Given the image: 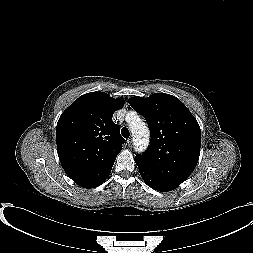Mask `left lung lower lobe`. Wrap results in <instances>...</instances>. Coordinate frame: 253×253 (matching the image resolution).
<instances>
[{"mask_svg": "<svg viewBox=\"0 0 253 253\" xmlns=\"http://www.w3.org/2000/svg\"><path fill=\"white\" fill-rule=\"evenodd\" d=\"M137 166L139 168V172H140L141 177L143 178L145 183L148 186H150L151 188H153L157 191L167 192V191H171V190L178 187L177 184H174L172 182L164 180V179L148 172L147 170H145L143 167L139 166L138 164H137Z\"/></svg>", "mask_w": 253, "mask_h": 253, "instance_id": "0a47b994", "label": "left lung lower lobe"}]
</instances>
